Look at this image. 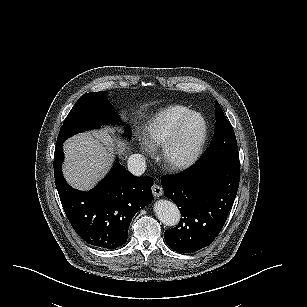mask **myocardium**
<instances>
[{"mask_svg": "<svg viewBox=\"0 0 307 307\" xmlns=\"http://www.w3.org/2000/svg\"><path fill=\"white\" fill-rule=\"evenodd\" d=\"M193 116L198 120L195 124L190 121ZM201 116L197 109L187 110L181 119L175 120L177 127L171 128L168 138L156 147L165 170L187 167L198 157L207 135L206 123Z\"/></svg>", "mask_w": 307, "mask_h": 307, "instance_id": "f54148a6", "label": "myocardium"}]
</instances>
